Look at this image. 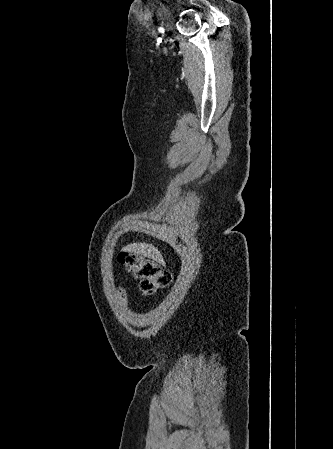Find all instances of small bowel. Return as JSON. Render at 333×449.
<instances>
[{
    "instance_id": "obj_1",
    "label": "small bowel",
    "mask_w": 333,
    "mask_h": 449,
    "mask_svg": "<svg viewBox=\"0 0 333 449\" xmlns=\"http://www.w3.org/2000/svg\"><path fill=\"white\" fill-rule=\"evenodd\" d=\"M116 291V295H117V300L119 302V304L122 307H126L128 304V296H127V292L123 287H117L115 289Z\"/></svg>"
}]
</instances>
